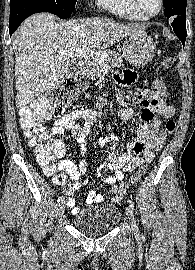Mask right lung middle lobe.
<instances>
[{
  "label": "right lung middle lobe",
  "mask_w": 195,
  "mask_h": 270,
  "mask_svg": "<svg viewBox=\"0 0 195 270\" xmlns=\"http://www.w3.org/2000/svg\"><path fill=\"white\" fill-rule=\"evenodd\" d=\"M46 3L51 13L60 18L66 19L71 16L74 11L77 0H34Z\"/></svg>",
  "instance_id": "dd1d6c3e"
}]
</instances>
